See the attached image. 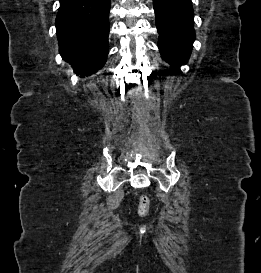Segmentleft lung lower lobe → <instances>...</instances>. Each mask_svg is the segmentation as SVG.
Here are the masks:
<instances>
[{
    "mask_svg": "<svg viewBox=\"0 0 261 273\" xmlns=\"http://www.w3.org/2000/svg\"><path fill=\"white\" fill-rule=\"evenodd\" d=\"M162 58L179 69L187 63L195 39L191 0H153Z\"/></svg>",
    "mask_w": 261,
    "mask_h": 273,
    "instance_id": "left-lung-lower-lobe-1",
    "label": "left lung lower lobe"
}]
</instances>
